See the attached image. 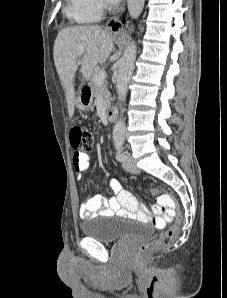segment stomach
<instances>
[{"label":"stomach","mask_w":227,"mask_h":298,"mask_svg":"<svg viewBox=\"0 0 227 298\" xmlns=\"http://www.w3.org/2000/svg\"><path fill=\"white\" fill-rule=\"evenodd\" d=\"M93 103V94L89 88H83L76 99L75 106L80 112H86L91 109Z\"/></svg>","instance_id":"0dacf381"}]
</instances>
